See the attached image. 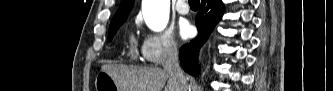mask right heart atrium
I'll return each instance as SVG.
<instances>
[{"label": "right heart atrium", "instance_id": "1", "mask_svg": "<svg viewBox=\"0 0 333 91\" xmlns=\"http://www.w3.org/2000/svg\"><path fill=\"white\" fill-rule=\"evenodd\" d=\"M143 59L151 64L160 65L178 54V43L169 31L146 32L141 43Z\"/></svg>", "mask_w": 333, "mask_h": 91}]
</instances>
